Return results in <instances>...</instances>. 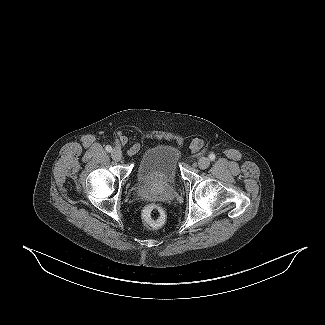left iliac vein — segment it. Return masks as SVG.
<instances>
[{"mask_svg":"<svg viewBox=\"0 0 325 325\" xmlns=\"http://www.w3.org/2000/svg\"><path fill=\"white\" fill-rule=\"evenodd\" d=\"M210 165V160L206 157H201L198 160V166L200 169H206Z\"/></svg>","mask_w":325,"mask_h":325,"instance_id":"obj_1","label":"left iliac vein"}]
</instances>
